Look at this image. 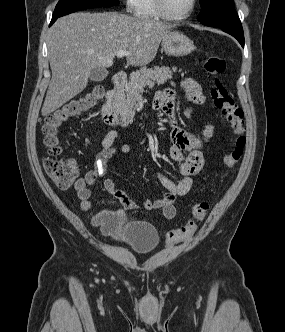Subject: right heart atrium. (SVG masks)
<instances>
[{
    "instance_id": "right-heart-atrium-1",
    "label": "right heart atrium",
    "mask_w": 285,
    "mask_h": 332,
    "mask_svg": "<svg viewBox=\"0 0 285 332\" xmlns=\"http://www.w3.org/2000/svg\"><path fill=\"white\" fill-rule=\"evenodd\" d=\"M126 10L132 11L134 8L135 0H123Z\"/></svg>"
}]
</instances>
